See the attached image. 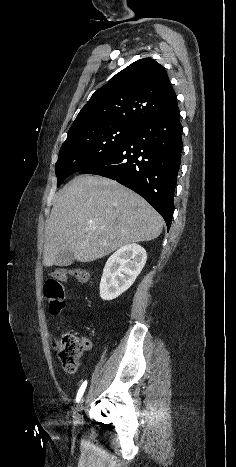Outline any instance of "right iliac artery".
<instances>
[{"mask_svg": "<svg viewBox=\"0 0 236 467\" xmlns=\"http://www.w3.org/2000/svg\"><path fill=\"white\" fill-rule=\"evenodd\" d=\"M87 386V381H84L81 387L78 390L77 397H76V402L78 403L81 400V397L86 389Z\"/></svg>", "mask_w": 236, "mask_h": 467, "instance_id": "right-iliac-artery-1", "label": "right iliac artery"}]
</instances>
